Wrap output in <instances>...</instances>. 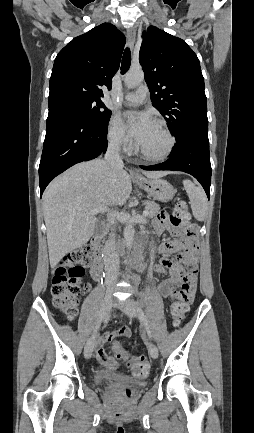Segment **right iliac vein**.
<instances>
[{"mask_svg": "<svg viewBox=\"0 0 254 433\" xmlns=\"http://www.w3.org/2000/svg\"><path fill=\"white\" fill-rule=\"evenodd\" d=\"M113 305V297L112 294H107L103 300L101 311H100V320H103L106 318L108 313L111 310V307ZM94 343H95V334L87 341L85 348H84V355L86 358H90L94 349Z\"/></svg>", "mask_w": 254, "mask_h": 433, "instance_id": "obj_1", "label": "right iliac vein"}]
</instances>
